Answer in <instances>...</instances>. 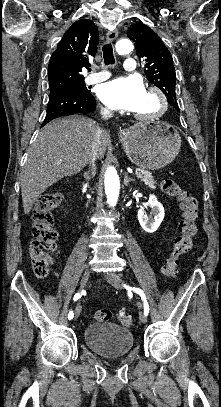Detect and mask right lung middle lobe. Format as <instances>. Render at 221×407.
<instances>
[{
    "instance_id": "obj_1",
    "label": "right lung middle lobe",
    "mask_w": 221,
    "mask_h": 407,
    "mask_svg": "<svg viewBox=\"0 0 221 407\" xmlns=\"http://www.w3.org/2000/svg\"><path fill=\"white\" fill-rule=\"evenodd\" d=\"M63 92L90 93V91L86 88L85 83L83 81V82L70 84V85H66V86L51 88L50 96H54L56 94L63 93Z\"/></svg>"
}]
</instances>
